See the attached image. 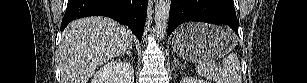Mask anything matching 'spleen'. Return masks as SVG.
Instances as JSON below:
<instances>
[{
  "label": "spleen",
  "instance_id": "spleen-1",
  "mask_svg": "<svg viewBox=\"0 0 307 83\" xmlns=\"http://www.w3.org/2000/svg\"><path fill=\"white\" fill-rule=\"evenodd\" d=\"M197 72L214 83H242L241 66L236 54L230 53L223 59V67L208 60L198 64Z\"/></svg>",
  "mask_w": 307,
  "mask_h": 83
}]
</instances>
